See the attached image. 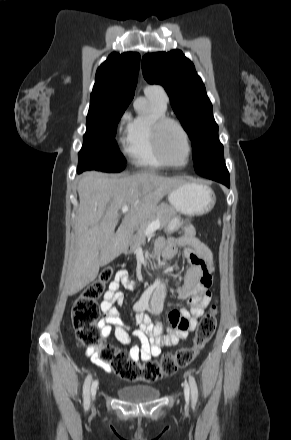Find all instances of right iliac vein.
<instances>
[{"label": "right iliac vein", "instance_id": "obj_1", "mask_svg": "<svg viewBox=\"0 0 291 440\" xmlns=\"http://www.w3.org/2000/svg\"><path fill=\"white\" fill-rule=\"evenodd\" d=\"M97 387H98V381H94V382L92 383V386H91V393H92V396H93V397H94L95 394H96Z\"/></svg>", "mask_w": 291, "mask_h": 440}]
</instances>
